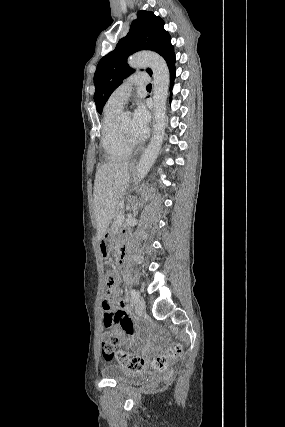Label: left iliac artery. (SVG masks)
Here are the masks:
<instances>
[{
	"label": "left iliac artery",
	"mask_w": 285,
	"mask_h": 427,
	"mask_svg": "<svg viewBox=\"0 0 285 427\" xmlns=\"http://www.w3.org/2000/svg\"><path fill=\"white\" fill-rule=\"evenodd\" d=\"M130 296H131V305H132L133 302H134V300H135V298H136V296H137V293H136V291L134 289L130 290Z\"/></svg>",
	"instance_id": "1"
}]
</instances>
